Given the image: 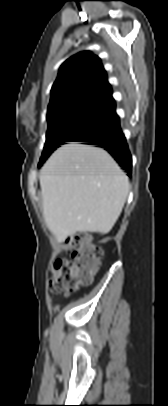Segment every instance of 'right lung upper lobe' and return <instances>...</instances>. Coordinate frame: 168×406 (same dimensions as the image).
I'll list each match as a JSON object with an SVG mask.
<instances>
[{
  "instance_id": "cb5924a9",
  "label": "right lung upper lobe",
  "mask_w": 168,
  "mask_h": 406,
  "mask_svg": "<svg viewBox=\"0 0 168 406\" xmlns=\"http://www.w3.org/2000/svg\"><path fill=\"white\" fill-rule=\"evenodd\" d=\"M114 103L100 59L84 51L70 57L60 67L47 114L76 105L112 106Z\"/></svg>"
}]
</instances>
